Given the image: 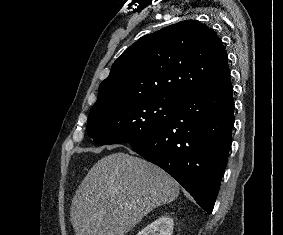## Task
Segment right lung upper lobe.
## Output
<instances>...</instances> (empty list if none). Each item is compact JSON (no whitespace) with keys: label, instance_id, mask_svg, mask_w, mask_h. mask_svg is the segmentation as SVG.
Segmentation results:
<instances>
[{"label":"right lung upper lobe","instance_id":"right-lung-upper-lobe-1","mask_svg":"<svg viewBox=\"0 0 283 235\" xmlns=\"http://www.w3.org/2000/svg\"><path fill=\"white\" fill-rule=\"evenodd\" d=\"M228 78L221 39L206 25L185 20L143 36L127 48L100 84L94 106L132 97L179 99Z\"/></svg>","mask_w":283,"mask_h":235}]
</instances>
